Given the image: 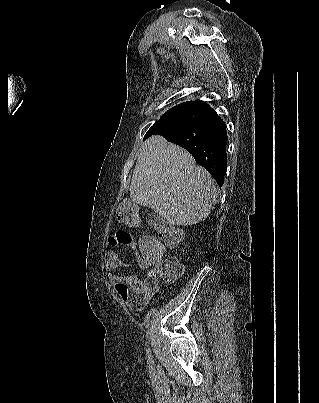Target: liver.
Here are the masks:
<instances>
[{
  "label": "liver",
  "mask_w": 319,
  "mask_h": 403,
  "mask_svg": "<svg viewBox=\"0 0 319 403\" xmlns=\"http://www.w3.org/2000/svg\"><path fill=\"white\" fill-rule=\"evenodd\" d=\"M214 179L183 148L152 136L140 148L130 198L172 225L204 221L216 202Z\"/></svg>",
  "instance_id": "liver-1"
}]
</instances>
